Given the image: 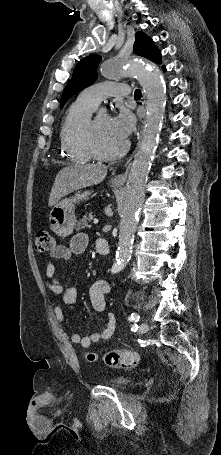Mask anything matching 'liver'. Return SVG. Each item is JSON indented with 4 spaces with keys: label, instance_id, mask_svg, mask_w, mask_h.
Listing matches in <instances>:
<instances>
[{
    "label": "liver",
    "instance_id": "6515ba94",
    "mask_svg": "<svg viewBox=\"0 0 221 455\" xmlns=\"http://www.w3.org/2000/svg\"><path fill=\"white\" fill-rule=\"evenodd\" d=\"M106 175L107 167L101 163L64 167L56 175L49 196V207L54 206L62 197L74 190L101 183Z\"/></svg>",
    "mask_w": 221,
    "mask_h": 455
}]
</instances>
